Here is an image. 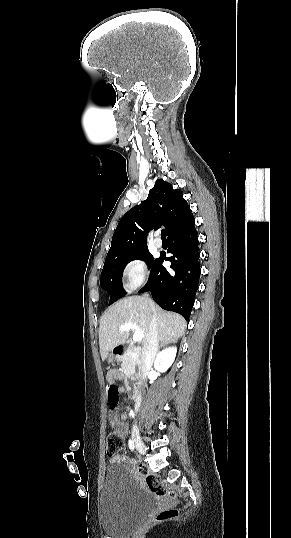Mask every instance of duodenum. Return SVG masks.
<instances>
[{"label":"duodenum","mask_w":291,"mask_h":538,"mask_svg":"<svg viewBox=\"0 0 291 538\" xmlns=\"http://www.w3.org/2000/svg\"><path fill=\"white\" fill-rule=\"evenodd\" d=\"M127 351H129L133 356L141 357L140 350L137 347L127 348L125 346H120V347L115 348L114 355L117 357H121ZM142 371H144L143 367H142ZM137 372H140V369H137ZM125 382H126L125 386L127 388L128 396L131 398L137 397L140 391L139 382L135 380L131 372L126 373Z\"/></svg>","instance_id":"duodenum-1"}]
</instances>
